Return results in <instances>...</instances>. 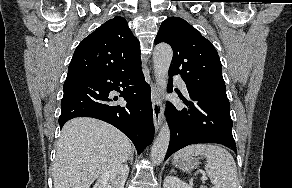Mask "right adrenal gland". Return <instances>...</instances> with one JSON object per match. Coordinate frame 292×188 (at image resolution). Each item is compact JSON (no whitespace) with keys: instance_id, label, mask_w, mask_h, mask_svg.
Wrapping results in <instances>:
<instances>
[{"instance_id":"right-adrenal-gland-1","label":"right adrenal gland","mask_w":292,"mask_h":188,"mask_svg":"<svg viewBox=\"0 0 292 188\" xmlns=\"http://www.w3.org/2000/svg\"><path fill=\"white\" fill-rule=\"evenodd\" d=\"M130 161V164L132 165L133 163V154H131V156L125 161V163H127V161Z\"/></svg>"}]
</instances>
